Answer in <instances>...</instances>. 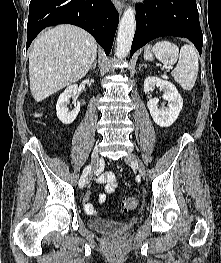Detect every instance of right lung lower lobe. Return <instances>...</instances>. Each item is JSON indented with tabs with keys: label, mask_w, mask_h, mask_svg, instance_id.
<instances>
[{
	"label": "right lung lower lobe",
	"mask_w": 221,
	"mask_h": 263,
	"mask_svg": "<svg viewBox=\"0 0 221 263\" xmlns=\"http://www.w3.org/2000/svg\"><path fill=\"white\" fill-rule=\"evenodd\" d=\"M118 22V12L110 0H31L26 49L44 28L68 23L88 31L108 55Z\"/></svg>",
	"instance_id": "right-lung-lower-lobe-1"
}]
</instances>
